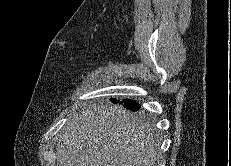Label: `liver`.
Listing matches in <instances>:
<instances>
[{"instance_id":"liver-1","label":"liver","mask_w":231,"mask_h":166,"mask_svg":"<svg viewBox=\"0 0 231 166\" xmlns=\"http://www.w3.org/2000/svg\"><path fill=\"white\" fill-rule=\"evenodd\" d=\"M159 141L128 110L89 105L71 117L57 138L58 166H155Z\"/></svg>"}]
</instances>
